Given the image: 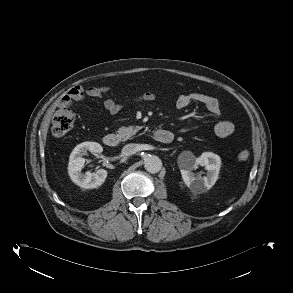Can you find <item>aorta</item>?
Listing matches in <instances>:
<instances>
[{
  "label": "aorta",
  "instance_id": "762f6f07",
  "mask_svg": "<svg viewBox=\"0 0 293 293\" xmlns=\"http://www.w3.org/2000/svg\"><path fill=\"white\" fill-rule=\"evenodd\" d=\"M145 169L152 174L158 173L162 168V161L158 156L148 155L144 159Z\"/></svg>",
  "mask_w": 293,
  "mask_h": 293
}]
</instances>
